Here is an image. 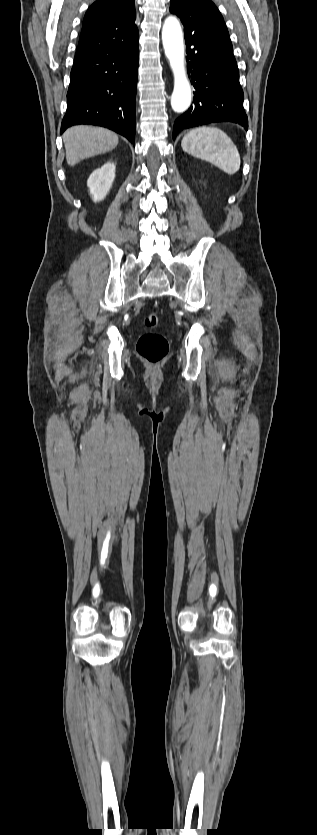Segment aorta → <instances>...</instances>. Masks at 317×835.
I'll use <instances>...</instances> for the list:
<instances>
[{
  "label": "aorta",
  "mask_w": 317,
  "mask_h": 835,
  "mask_svg": "<svg viewBox=\"0 0 317 835\" xmlns=\"http://www.w3.org/2000/svg\"><path fill=\"white\" fill-rule=\"evenodd\" d=\"M162 42L174 76L171 107L176 113L185 112L191 104V87L184 65L183 33L174 16L165 19L162 28Z\"/></svg>",
  "instance_id": "762f6f07"
}]
</instances>
